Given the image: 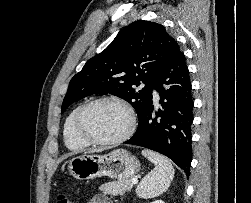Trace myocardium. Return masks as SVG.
Wrapping results in <instances>:
<instances>
[{"instance_id": "1", "label": "myocardium", "mask_w": 251, "mask_h": 203, "mask_svg": "<svg viewBox=\"0 0 251 203\" xmlns=\"http://www.w3.org/2000/svg\"><path fill=\"white\" fill-rule=\"evenodd\" d=\"M104 102L114 103L121 106L126 111L129 120L128 127L125 130V132L120 136L109 140H99L92 138L89 135H87L82 128L83 117L87 112V110L95 104ZM135 128H136V116L132 107L124 100L115 96H103L86 102L78 109L73 123V129L76 136L83 142L87 143L88 145H95V146H114L120 144L128 140L132 136V134L135 131Z\"/></svg>"}]
</instances>
